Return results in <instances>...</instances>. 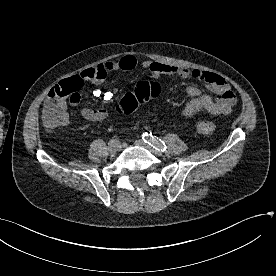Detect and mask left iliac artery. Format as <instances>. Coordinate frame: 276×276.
Segmentation results:
<instances>
[{"label":"left iliac artery","mask_w":276,"mask_h":276,"mask_svg":"<svg viewBox=\"0 0 276 276\" xmlns=\"http://www.w3.org/2000/svg\"><path fill=\"white\" fill-rule=\"evenodd\" d=\"M142 139L158 151L164 152L167 149L165 143L151 133H143Z\"/></svg>","instance_id":"44dca946"}]
</instances>
